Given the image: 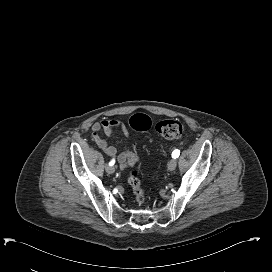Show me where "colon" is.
<instances>
[{"instance_id": "5ec220e1", "label": "colon", "mask_w": 272, "mask_h": 272, "mask_svg": "<svg viewBox=\"0 0 272 272\" xmlns=\"http://www.w3.org/2000/svg\"><path fill=\"white\" fill-rule=\"evenodd\" d=\"M130 127L136 132H145L152 126L151 119L145 114H135L129 120ZM156 131L164 138L177 139L184 132V125L177 119H164L156 123ZM129 184L132 188L135 202L142 205L145 202L146 195L140 186V179L137 171H133L129 177Z\"/></svg>"}]
</instances>
